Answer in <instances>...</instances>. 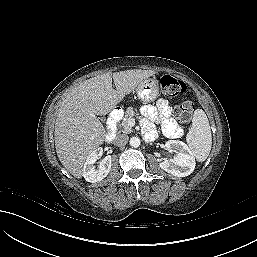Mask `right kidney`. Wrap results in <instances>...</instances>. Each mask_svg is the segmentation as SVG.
Listing matches in <instances>:
<instances>
[{"mask_svg":"<svg viewBox=\"0 0 257 257\" xmlns=\"http://www.w3.org/2000/svg\"><path fill=\"white\" fill-rule=\"evenodd\" d=\"M103 154V149L98 148L93 150L87 157L82 176L87 182L96 183L104 179L111 170L112 166V158L111 156H106L99 164V166L95 167V162L98 158H100Z\"/></svg>","mask_w":257,"mask_h":257,"instance_id":"obj_1","label":"right kidney"}]
</instances>
